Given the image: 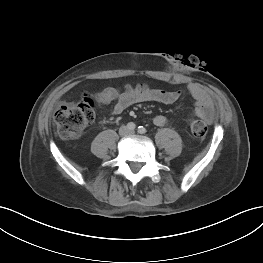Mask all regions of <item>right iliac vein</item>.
Returning a JSON list of instances; mask_svg holds the SVG:
<instances>
[{
  "label": "right iliac vein",
  "mask_w": 263,
  "mask_h": 263,
  "mask_svg": "<svg viewBox=\"0 0 263 263\" xmlns=\"http://www.w3.org/2000/svg\"><path fill=\"white\" fill-rule=\"evenodd\" d=\"M128 128L127 127H122L121 129H120V134L121 135H127L128 134Z\"/></svg>",
  "instance_id": "1"
}]
</instances>
